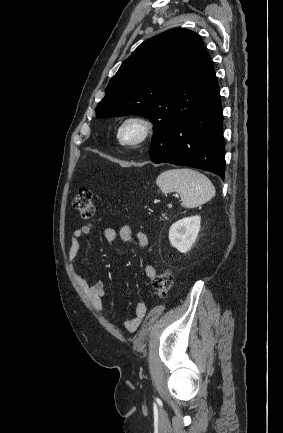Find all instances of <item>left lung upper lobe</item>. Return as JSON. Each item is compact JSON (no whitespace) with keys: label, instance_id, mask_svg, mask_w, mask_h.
<instances>
[{"label":"left lung upper lobe","instance_id":"1","mask_svg":"<svg viewBox=\"0 0 283 433\" xmlns=\"http://www.w3.org/2000/svg\"><path fill=\"white\" fill-rule=\"evenodd\" d=\"M209 61L203 41L184 28L144 41L110 80L97 117L140 115L155 129L171 125L198 105L199 78Z\"/></svg>","mask_w":283,"mask_h":433}]
</instances>
